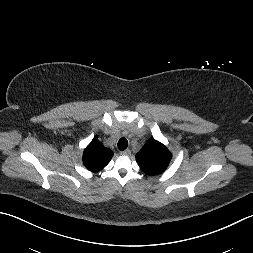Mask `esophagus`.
<instances>
[{
    "label": "esophagus",
    "instance_id": "esophagus-1",
    "mask_svg": "<svg viewBox=\"0 0 253 253\" xmlns=\"http://www.w3.org/2000/svg\"><path fill=\"white\" fill-rule=\"evenodd\" d=\"M120 154L121 155H129L130 154V150L126 149V150L120 151Z\"/></svg>",
    "mask_w": 253,
    "mask_h": 253
}]
</instances>
